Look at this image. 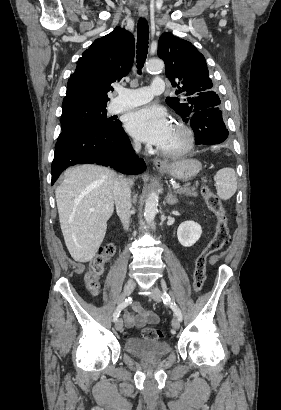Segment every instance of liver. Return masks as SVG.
Returning a JSON list of instances; mask_svg holds the SVG:
<instances>
[{"instance_id": "liver-1", "label": "liver", "mask_w": 281, "mask_h": 410, "mask_svg": "<svg viewBox=\"0 0 281 410\" xmlns=\"http://www.w3.org/2000/svg\"><path fill=\"white\" fill-rule=\"evenodd\" d=\"M115 179L116 173L106 167L84 164L66 170L56 188L61 230L77 262L90 261L105 237L107 221L114 212Z\"/></svg>"}]
</instances>
